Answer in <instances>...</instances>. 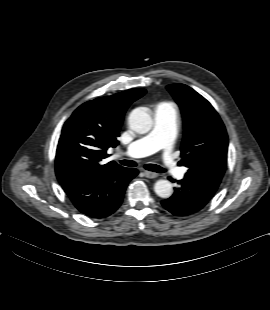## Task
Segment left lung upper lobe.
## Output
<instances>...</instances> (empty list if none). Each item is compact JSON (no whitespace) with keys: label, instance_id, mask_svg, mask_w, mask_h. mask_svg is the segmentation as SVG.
Masks as SVG:
<instances>
[{"label":"left lung upper lobe","instance_id":"5c2ea615","mask_svg":"<svg viewBox=\"0 0 270 310\" xmlns=\"http://www.w3.org/2000/svg\"><path fill=\"white\" fill-rule=\"evenodd\" d=\"M167 89L184 119L180 164L188 167V175L221 181L227 164L228 137L218 113L184 84H171Z\"/></svg>","mask_w":270,"mask_h":310}]
</instances>
